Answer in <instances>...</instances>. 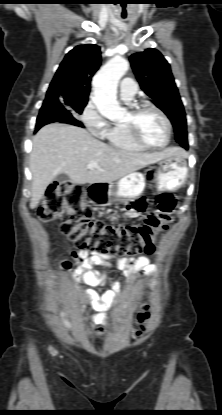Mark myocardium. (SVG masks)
Returning a JSON list of instances; mask_svg holds the SVG:
<instances>
[{
    "label": "myocardium",
    "instance_id": "1",
    "mask_svg": "<svg viewBox=\"0 0 222 415\" xmlns=\"http://www.w3.org/2000/svg\"><path fill=\"white\" fill-rule=\"evenodd\" d=\"M147 109H151L154 110L155 112H157L161 118L164 120L165 124H166V128H167V136H166V140L164 141V143L160 144V145H153V144H149L147 143L142 136L140 135V132L138 130V126H137V119L140 116V114L147 110ZM130 119L128 121H124V126L126 127V129L128 130L130 136L132 137V139L139 144L140 146L146 148V149H162L167 147L170 142H171V138H172V123L170 118L167 116V114L158 106L150 103V102H141V103H137L135 105L132 106L131 110H130Z\"/></svg>",
    "mask_w": 222,
    "mask_h": 415
}]
</instances>
